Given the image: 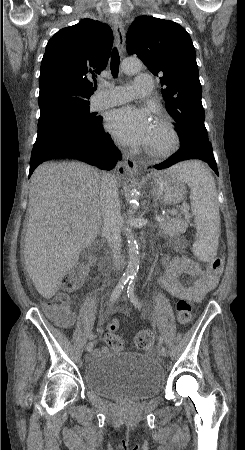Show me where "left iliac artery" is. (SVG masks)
<instances>
[{"label":"left iliac artery","mask_w":245,"mask_h":450,"mask_svg":"<svg viewBox=\"0 0 245 450\" xmlns=\"http://www.w3.org/2000/svg\"><path fill=\"white\" fill-rule=\"evenodd\" d=\"M127 295L129 300L133 303V305L137 308H142V304L135 296V277L131 276L130 282L127 287ZM158 340L160 343H163V337L161 335L158 336Z\"/></svg>","instance_id":"left-iliac-artery-1"}]
</instances>
